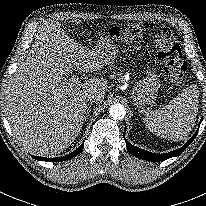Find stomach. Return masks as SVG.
Segmentation results:
<instances>
[{"label":"stomach","mask_w":206,"mask_h":206,"mask_svg":"<svg viewBox=\"0 0 206 206\" xmlns=\"http://www.w3.org/2000/svg\"><path fill=\"white\" fill-rule=\"evenodd\" d=\"M113 39L109 35L102 36L96 45L104 51L110 63L119 54V49ZM160 85L161 80L160 76L157 75V71L153 68L146 70L145 77L138 80L131 91L134 104L139 108L154 104L157 100Z\"/></svg>","instance_id":"0dacf381"}]
</instances>
